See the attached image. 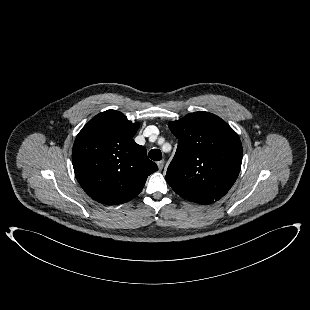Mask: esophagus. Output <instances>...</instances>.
Segmentation results:
<instances>
[{"instance_id": "1", "label": "esophagus", "mask_w": 310, "mask_h": 310, "mask_svg": "<svg viewBox=\"0 0 310 310\" xmlns=\"http://www.w3.org/2000/svg\"><path fill=\"white\" fill-rule=\"evenodd\" d=\"M157 166H158V169L161 171L163 169V166H164V160L158 161Z\"/></svg>"}]
</instances>
